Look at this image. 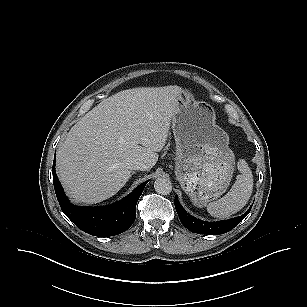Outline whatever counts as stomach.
Wrapping results in <instances>:
<instances>
[{
    "instance_id": "1",
    "label": "stomach",
    "mask_w": 307,
    "mask_h": 307,
    "mask_svg": "<svg viewBox=\"0 0 307 307\" xmlns=\"http://www.w3.org/2000/svg\"><path fill=\"white\" fill-rule=\"evenodd\" d=\"M172 130L176 142L175 175L198 206L220 197L228 188L235 155L227 133L216 124L214 109L186 91L176 99Z\"/></svg>"
}]
</instances>
